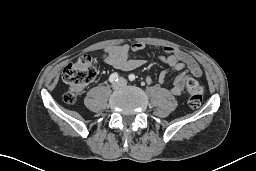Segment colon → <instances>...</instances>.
Returning <instances> with one entry per match:
<instances>
[{
	"instance_id": "1",
	"label": "colon",
	"mask_w": 256,
	"mask_h": 171,
	"mask_svg": "<svg viewBox=\"0 0 256 171\" xmlns=\"http://www.w3.org/2000/svg\"><path fill=\"white\" fill-rule=\"evenodd\" d=\"M96 67L90 56H82L77 61L69 63L62 72V80L67 84L68 90L63 95L66 104H75L79 94L93 81ZM188 104L192 108L201 106L205 87L195 79L186 81Z\"/></svg>"
}]
</instances>
